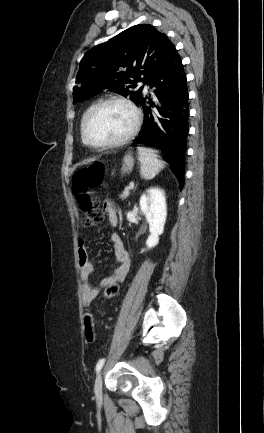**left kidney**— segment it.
I'll return each mask as SVG.
<instances>
[{"instance_id": "5707ae66", "label": "left kidney", "mask_w": 264, "mask_h": 433, "mask_svg": "<svg viewBox=\"0 0 264 433\" xmlns=\"http://www.w3.org/2000/svg\"><path fill=\"white\" fill-rule=\"evenodd\" d=\"M140 209L149 224L150 235L146 246L153 248L158 244L166 223L167 205L164 190L158 187L147 189L140 198Z\"/></svg>"}]
</instances>
